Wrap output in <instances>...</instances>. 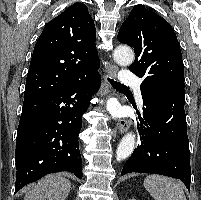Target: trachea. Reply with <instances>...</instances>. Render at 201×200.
Masks as SVG:
<instances>
[{
    "instance_id": "3493384b",
    "label": "trachea",
    "mask_w": 201,
    "mask_h": 200,
    "mask_svg": "<svg viewBox=\"0 0 201 200\" xmlns=\"http://www.w3.org/2000/svg\"><path fill=\"white\" fill-rule=\"evenodd\" d=\"M108 82L116 89H129V87H127L117 81H114L113 79L108 78Z\"/></svg>"
}]
</instances>
